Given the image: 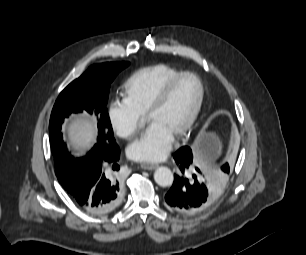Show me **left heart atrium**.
Masks as SVG:
<instances>
[{
	"label": "left heart atrium",
	"mask_w": 306,
	"mask_h": 255,
	"mask_svg": "<svg viewBox=\"0 0 306 255\" xmlns=\"http://www.w3.org/2000/svg\"><path fill=\"white\" fill-rule=\"evenodd\" d=\"M174 135L159 123L152 122L143 135L127 149L129 157L136 161H160L172 148Z\"/></svg>",
	"instance_id": "39dd6f15"
}]
</instances>
